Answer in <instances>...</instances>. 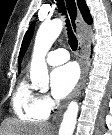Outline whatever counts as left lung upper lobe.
<instances>
[{"instance_id": "left-lung-upper-lobe-1", "label": "left lung upper lobe", "mask_w": 112, "mask_h": 135, "mask_svg": "<svg viewBox=\"0 0 112 135\" xmlns=\"http://www.w3.org/2000/svg\"><path fill=\"white\" fill-rule=\"evenodd\" d=\"M33 28H34V23L31 24V26L29 27V29L27 30L24 39H23V43L21 46V50H20V55H19V61H21L23 54L25 52V50L27 49V46L31 40L32 34H33Z\"/></svg>"}]
</instances>
